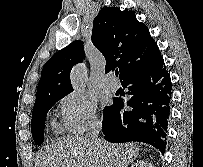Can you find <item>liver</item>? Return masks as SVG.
<instances>
[{
    "instance_id": "1",
    "label": "liver",
    "mask_w": 203,
    "mask_h": 167,
    "mask_svg": "<svg viewBox=\"0 0 203 167\" xmlns=\"http://www.w3.org/2000/svg\"><path fill=\"white\" fill-rule=\"evenodd\" d=\"M134 143L117 145L86 137L65 138L44 148L35 167H128L139 153Z\"/></svg>"
}]
</instances>
